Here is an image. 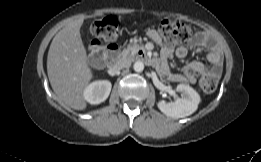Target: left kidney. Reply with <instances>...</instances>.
<instances>
[{"instance_id": "obj_1", "label": "left kidney", "mask_w": 261, "mask_h": 162, "mask_svg": "<svg viewBox=\"0 0 261 162\" xmlns=\"http://www.w3.org/2000/svg\"><path fill=\"white\" fill-rule=\"evenodd\" d=\"M176 90L181 93V98L174 102L161 100L157 106L162 113L172 118H183L194 113L200 102L199 94L187 84H179Z\"/></svg>"}]
</instances>
